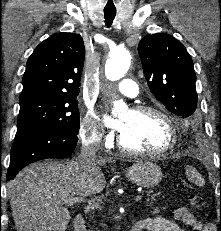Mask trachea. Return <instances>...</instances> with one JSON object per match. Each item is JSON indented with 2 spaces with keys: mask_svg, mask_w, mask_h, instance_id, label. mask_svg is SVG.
I'll return each instance as SVG.
<instances>
[{
  "mask_svg": "<svg viewBox=\"0 0 221 231\" xmlns=\"http://www.w3.org/2000/svg\"><path fill=\"white\" fill-rule=\"evenodd\" d=\"M116 16V11L104 10L105 24L106 26H111L114 18Z\"/></svg>",
  "mask_w": 221,
  "mask_h": 231,
  "instance_id": "obj_1",
  "label": "trachea"
}]
</instances>
